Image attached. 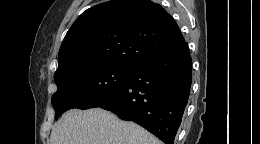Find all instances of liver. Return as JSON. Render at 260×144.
Masks as SVG:
<instances>
[{
    "instance_id": "1",
    "label": "liver",
    "mask_w": 260,
    "mask_h": 144,
    "mask_svg": "<svg viewBox=\"0 0 260 144\" xmlns=\"http://www.w3.org/2000/svg\"><path fill=\"white\" fill-rule=\"evenodd\" d=\"M50 144H161L133 122L101 108L67 111L51 132Z\"/></svg>"
}]
</instances>
